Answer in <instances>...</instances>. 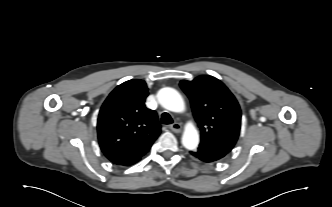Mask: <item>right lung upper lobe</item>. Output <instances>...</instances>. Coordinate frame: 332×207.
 <instances>
[{
	"mask_svg": "<svg viewBox=\"0 0 332 207\" xmlns=\"http://www.w3.org/2000/svg\"><path fill=\"white\" fill-rule=\"evenodd\" d=\"M147 96L143 80H129L117 86L100 109V148L114 164L130 166L138 162L161 132L156 112L145 106Z\"/></svg>",
	"mask_w": 332,
	"mask_h": 207,
	"instance_id": "1",
	"label": "right lung upper lobe"
}]
</instances>
